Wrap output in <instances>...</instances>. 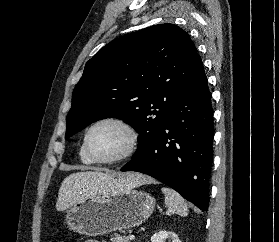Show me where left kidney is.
<instances>
[{"label":"left kidney","mask_w":279,"mask_h":242,"mask_svg":"<svg viewBox=\"0 0 279 242\" xmlns=\"http://www.w3.org/2000/svg\"><path fill=\"white\" fill-rule=\"evenodd\" d=\"M172 242H181L178 235L172 231L160 230L151 237V242H165L166 240Z\"/></svg>","instance_id":"left-kidney-1"}]
</instances>
